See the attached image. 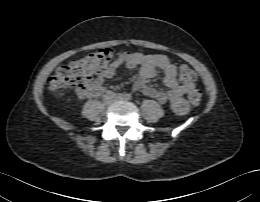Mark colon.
Returning <instances> with one entry per match:
<instances>
[{
    "mask_svg": "<svg viewBox=\"0 0 260 202\" xmlns=\"http://www.w3.org/2000/svg\"><path fill=\"white\" fill-rule=\"evenodd\" d=\"M113 58V52L109 48H103L89 53L85 57L74 60L60 67L48 82L51 90H80L95 74L105 70ZM179 76L183 82H193L196 79L195 71L187 64L179 65ZM189 100L198 104L201 100V92L192 90Z\"/></svg>",
    "mask_w": 260,
    "mask_h": 202,
    "instance_id": "1",
    "label": "colon"
}]
</instances>
